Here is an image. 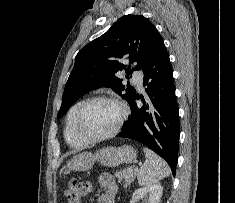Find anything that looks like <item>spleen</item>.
<instances>
[{
	"mask_svg": "<svg viewBox=\"0 0 235 203\" xmlns=\"http://www.w3.org/2000/svg\"><path fill=\"white\" fill-rule=\"evenodd\" d=\"M143 151L146 161L138 171L139 185L150 186L170 175V168L161 157L148 148H144Z\"/></svg>",
	"mask_w": 235,
	"mask_h": 203,
	"instance_id": "1",
	"label": "spleen"
}]
</instances>
